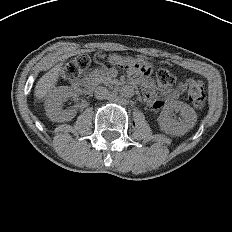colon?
Masks as SVG:
<instances>
[{
    "label": "colon",
    "mask_w": 232,
    "mask_h": 232,
    "mask_svg": "<svg viewBox=\"0 0 232 232\" xmlns=\"http://www.w3.org/2000/svg\"><path fill=\"white\" fill-rule=\"evenodd\" d=\"M90 66L88 56L81 55L69 62L63 67L61 76L67 80H75L85 73ZM175 83L173 74L167 69H160L157 72V89L161 93H165L171 89ZM186 92L189 101L197 108H201L205 102L204 86L201 82L191 80L186 84Z\"/></svg>",
    "instance_id": "obj_1"
}]
</instances>
